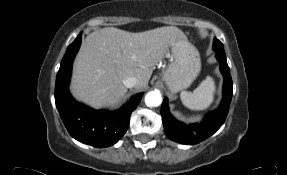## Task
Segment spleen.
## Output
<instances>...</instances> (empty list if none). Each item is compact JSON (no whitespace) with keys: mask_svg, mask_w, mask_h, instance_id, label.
Masks as SVG:
<instances>
[{"mask_svg":"<svg viewBox=\"0 0 287 175\" xmlns=\"http://www.w3.org/2000/svg\"><path fill=\"white\" fill-rule=\"evenodd\" d=\"M215 90L213 78L207 76L193 92L182 91L180 98L189 109L205 110L213 103Z\"/></svg>","mask_w":287,"mask_h":175,"instance_id":"1","label":"spleen"}]
</instances>
